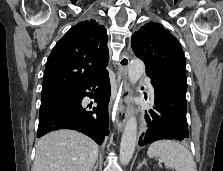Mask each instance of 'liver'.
Wrapping results in <instances>:
<instances>
[{
  "instance_id": "obj_1",
  "label": "liver",
  "mask_w": 223,
  "mask_h": 171,
  "mask_svg": "<svg viewBox=\"0 0 223 171\" xmlns=\"http://www.w3.org/2000/svg\"><path fill=\"white\" fill-rule=\"evenodd\" d=\"M98 145L74 130H57L40 138L32 171H91Z\"/></svg>"
}]
</instances>
